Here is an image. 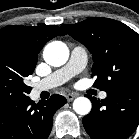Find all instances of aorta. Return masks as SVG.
Listing matches in <instances>:
<instances>
[{"mask_svg": "<svg viewBox=\"0 0 139 139\" xmlns=\"http://www.w3.org/2000/svg\"><path fill=\"white\" fill-rule=\"evenodd\" d=\"M43 57L49 65L59 67L68 60L69 50L63 42L53 41L44 48ZM91 107V101L86 97H78L73 102V109L79 115L89 114Z\"/></svg>", "mask_w": 139, "mask_h": 139, "instance_id": "obj_1", "label": "aorta"}]
</instances>
